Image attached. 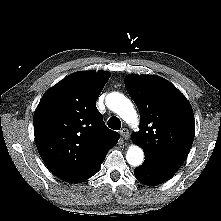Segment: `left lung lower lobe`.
<instances>
[{
  "instance_id": "obj_1",
  "label": "left lung lower lobe",
  "mask_w": 221,
  "mask_h": 221,
  "mask_svg": "<svg viewBox=\"0 0 221 221\" xmlns=\"http://www.w3.org/2000/svg\"><path fill=\"white\" fill-rule=\"evenodd\" d=\"M176 172L149 161L134 169L135 177L145 185H158L169 180Z\"/></svg>"
}]
</instances>
